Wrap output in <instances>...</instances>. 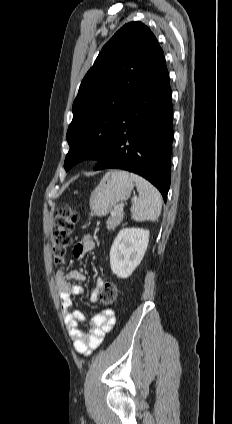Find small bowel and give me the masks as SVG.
I'll list each match as a JSON object with an SVG mask.
<instances>
[{
    "label": "small bowel",
    "mask_w": 232,
    "mask_h": 424,
    "mask_svg": "<svg viewBox=\"0 0 232 424\" xmlns=\"http://www.w3.org/2000/svg\"><path fill=\"white\" fill-rule=\"evenodd\" d=\"M95 246L94 238L84 236L75 244L73 255L77 259H83L94 250ZM54 280L61 300L62 316L74 349L80 354L89 355L102 344L105 335L113 328L115 323L114 311L104 309L98 312L91 318L89 330L83 331L80 328V323L84 321L85 315L82 311L73 309V297L83 294L84 288L79 284H74L73 281L84 282L86 275L78 270L66 272L64 268H60L56 272ZM103 284L102 278L96 279L95 287L90 292L92 302L98 301L99 291Z\"/></svg>",
    "instance_id": "small-bowel-1"
}]
</instances>
